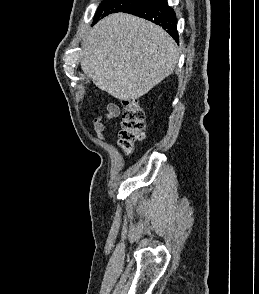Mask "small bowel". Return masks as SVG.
I'll use <instances>...</instances> for the list:
<instances>
[{"label": "small bowel", "mask_w": 259, "mask_h": 294, "mask_svg": "<svg viewBox=\"0 0 259 294\" xmlns=\"http://www.w3.org/2000/svg\"><path fill=\"white\" fill-rule=\"evenodd\" d=\"M119 114H120V108L118 107V105L110 103L106 108V112L103 115L94 119L93 128L96 135L100 139H104V133L106 130V121L109 119L117 118Z\"/></svg>", "instance_id": "1"}]
</instances>
